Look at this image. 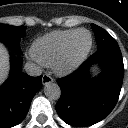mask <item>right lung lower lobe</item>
<instances>
[{
	"label": "right lung lower lobe",
	"instance_id": "1",
	"mask_svg": "<svg viewBox=\"0 0 128 128\" xmlns=\"http://www.w3.org/2000/svg\"><path fill=\"white\" fill-rule=\"evenodd\" d=\"M22 59L11 56V73L0 88V128L13 127L25 118L34 95L42 87V77L21 71Z\"/></svg>",
	"mask_w": 128,
	"mask_h": 128
}]
</instances>
